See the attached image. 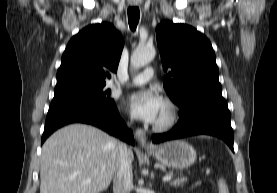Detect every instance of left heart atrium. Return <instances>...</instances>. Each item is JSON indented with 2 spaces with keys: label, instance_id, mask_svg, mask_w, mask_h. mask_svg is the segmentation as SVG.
<instances>
[{
  "label": "left heart atrium",
  "instance_id": "obj_1",
  "mask_svg": "<svg viewBox=\"0 0 277 193\" xmlns=\"http://www.w3.org/2000/svg\"><path fill=\"white\" fill-rule=\"evenodd\" d=\"M126 103L133 116L145 122L155 123L164 102L153 91H141L128 96Z\"/></svg>",
  "mask_w": 277,
  "mask_h": 193
}]
</instances>
